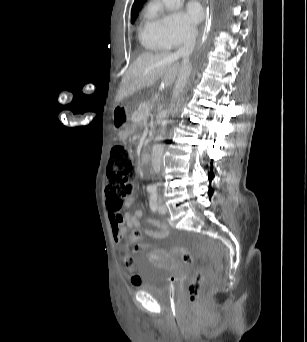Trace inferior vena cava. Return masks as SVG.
<instances>
[{"label": "inferior vena cava", "mask_w": 307, "mask_h": 342, "mask_svg": "<svg viewBox=\"0 0 307 342\" xmlns=\"http://www.w3.org/2000/svg\"><path fill=\"white\" fill-rule=\"evenodd\" d=\"M196 36L197 30H193L190 28L189 32H187L184 38V44L182 48H179L178 52H176L177 56H181L183 58L181 68L179 70V74L177 76V80L175 82L174 90H173V100H177L180 92H183L184 86H186L189 76L191 74L192 66L189 62V58L195 48L196 44ZM162 156H163V148L160 146H155L152 152V168L154 172H160L161 164H162Z\"/></svg>", "instance_id": "602c4592"}]
</instances>
